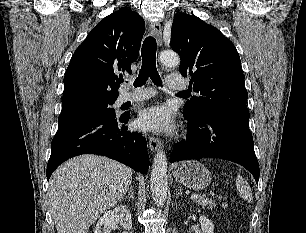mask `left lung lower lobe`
Listing matches in <instances>:
<instances>
[{
	"label": "left lung lower lobe",
	"mask_w": 306,
	"mask_h": 233,
	"mask_svg": "<svg viewBox=\"0 0 306 233\" xmlns=\"http://www.w3.org/2000/svg\"><path fill=\"white\" fill-rule=\"evenodd\" d=\"M187 137L173 149L171 162L213 157L229 160L245 167L259 179V164L249 130V113L215 110L188 120Z\"/></svg>",
	"instance_id": "1"
}]
</instances>
